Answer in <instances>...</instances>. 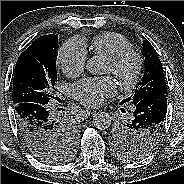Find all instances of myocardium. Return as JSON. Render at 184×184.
Segmentation results:
<instances>
[{
  "label": "myocardium",
  "instance_id": "f54148a6",
  "mask_svg": "<svg viewBox=\"0 0 184 184\" xmlns=\"http://www.w3.org/2000/svg\"><path fill=\"white\" fill-rule=\"evenodd\" d=\"M106 63L110 73L126 86H132L137 81L143 66L141 55L132 49L106 60Z\"/></svg>",
  "mask_w": 184,
  "mask_h": 184
}]
</instances>
